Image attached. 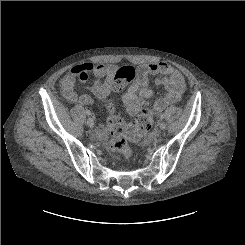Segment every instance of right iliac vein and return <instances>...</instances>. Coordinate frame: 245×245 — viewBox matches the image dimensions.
Returning <instances> with one entry per match:
<instances>
[{"mask_svg":"<svg viewBox=\"0 0 245 245\" xmlns=\"http://www.w3.org/2000/svg\"><path fill=\"white\" fill-rule=\"evenodd\" d=\"M87 125H88L89 127H91V128L94 126V121H93L92 118H88V119H87Z\"/></svg>","mask_w":245,"mask_h":245,"instance_id":"1","label":"right iliac vein"}]
</instances>
